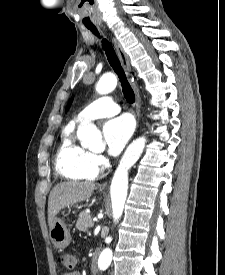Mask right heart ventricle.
Returning a JSON list of instances; mask_svg holds the SVG:
<instances>
[{
  "instance_id": "obj_1",
  "label": "right heart ventricle",
  "mask_w": 225,
  "mask_h": 275,
  "mask_svg": "<svg viewBox=\"0 0 225 275\" xmlns=\"http://www.w3.org/2000/svg\"><path fill=\"white\" fill-rule=\"evenodd\" d=\"M57 172L73 180H92L98 169L92 163V153L75 143L71 133L61 141L55 158Z\"/></svg>"
}]
</instances>
